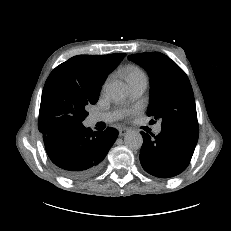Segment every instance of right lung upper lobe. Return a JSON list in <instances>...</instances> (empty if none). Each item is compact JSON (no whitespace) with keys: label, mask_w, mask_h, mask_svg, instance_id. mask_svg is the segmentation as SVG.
I'll return each mask as SVG.
<instances>
[{"label":"right lung upper lobe","mask_w":231,"mask_h":231,"mask_svg":"<svg viewBox=\"0 0 231 231\" xmlns=\"http://www.w3.org/2000/svg\"><path fill=\"white\" fill-rule=\"evenodd\" d=\"M125 57V53L109 55H77L58 67L70 70L76 80L101 87L107 75Z\"/></svg>","instance_id":"cb5924a9"}]
</instances>
